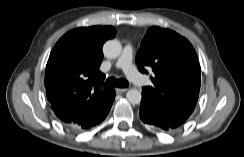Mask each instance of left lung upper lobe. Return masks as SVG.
Masks as SVG:
<instances>
[{
  "label": "left lung upper lobe",
  "mask_w": 244,
  "mask_h": 157,
  "mask_svg": "<svg viewBox=\"0 0 244 157\" xmlns=\"http://www.w3.org/2000/svg\"><path fill=\"white\" fill-rule=\"evenodd\" d=\"M141 72L150 67L153 86L143 87L150 101L176 128L193 112L200 90V65L190 42L170 29L151 27L136 55Z\"/></svg>",
  "instance_id": "1"
}]
</instances>
